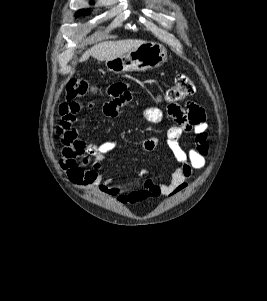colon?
Segmentation results:
<instances>
[{
  "label": "colon",
  "mask_w": 267,
  "mask_h": 301,
  "mask_svg": "<svg viewBox=\"0 0 267 301\" xmlns=\"http://www.w3.org/2000/svg\"><path fill=\"white\" fill-rule=\"evenodd\" d=\"M94 88L84 79L71 80L66 86V99L75 100L93 91ZM195 91L193 81L186 75L176 77L174 84L167 90L164 98L170 104H176L191 96Z\"/></svg>",
  "instance_id": "5ec220e1"
}]
</instances>
